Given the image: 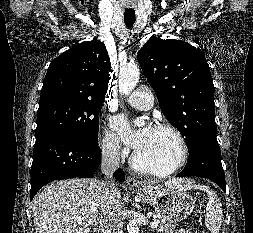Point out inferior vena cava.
I'll use <instances>...</instances> for the list:
<instances>
[{"label":"inferior vena cava","instance_id":"602c4592","mask_svg":"<svg viewBox=\"0 0 253 233\" xmlns=\"http://www.w3.org/2000/svg\"><path fill=\"white\" fill-rule=\"evenodd\" d=\"M119 145L116 142H109L102 148L101 170L108 178L119 168L120 154ZM100 205L104 215L102 222V233H123V215L120 201V191L117 184L111 178L102 182Z\"/></svg>","mask_w":253,"mask_h":233}]
</instances>
